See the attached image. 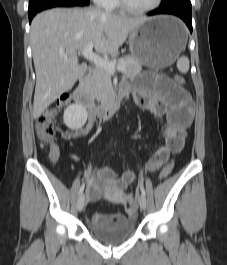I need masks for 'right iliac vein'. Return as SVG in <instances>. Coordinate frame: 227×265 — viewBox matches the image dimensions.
Here are the masks:
<instances>
[{"instance_id":"1","label":"right iliac vein","mask_w":227,"mask_h":265,"mask_svg":"<svg viewBox=\"0 0 227 265\" xmlns=\"http://www.w3.org/2000/svg\"><path fill=\"white\" fill-rule=\"evenodd\" d=\"M85 206V196L81 194L77 200V209L78 211H82Z\"/></svg>"}]
</instances>
